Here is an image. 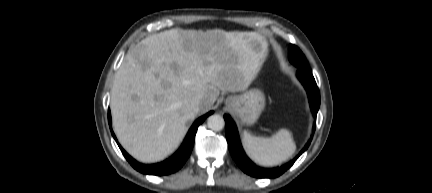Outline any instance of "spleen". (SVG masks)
I'll list each match as a JSON object with an SVG mask.
<instances>
[{
    "label": "spleen",
    "mask_w": 432,
    "mask_h": 193,
    "mask_svg": "<svg viewBox=\"0 0 432 193\" xmlns=\"http://www.w3.org/2000/svg\"><path fill=\"white\" fill-rule=\"evenodd\" d=\"M243 145L248 156L265 167L287 161L296 151L292 133L286 129H280L272 137H256L244 131Z\"/></svg>",
    "instance_id": "spleen-1"
}]
</instances>
